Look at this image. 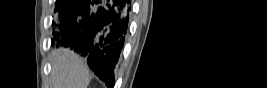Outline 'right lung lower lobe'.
<instances>
[{
	"instance_id": "1",
	"label": "right lung lower lobe",
	"mask_w": 267,
	"mask_h": 88,
	"mask_svg": "<svg viewBox=\"0 0 267 88\" xmlns=\"http://www.w3.org/2000/svg\"><path fill=\"white\" fill-rule=\"evenodd\" d=\"M129 0H69L53 33L61 46L78 51L109 87L129 27Z\"/></svg>"
}]
</instances>
